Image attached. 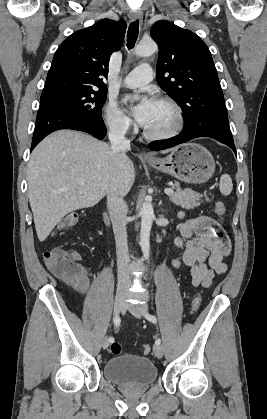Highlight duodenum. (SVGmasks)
<instances>
[{"label":"duodenum","instance_id":"410a0bca","mask_svg":"<svg viewBox=\"0 0 267 419\" xmlns=\"http://www.w3.org/2000/svg\"><path fill=\"white\" fill-rule=\"evenodd\" d=\"M104 218H105V222L108 224L109 223V217H108V215L105 214Z\"/></svg>","mask_w":267,"mask_h":419}]
</instances>
